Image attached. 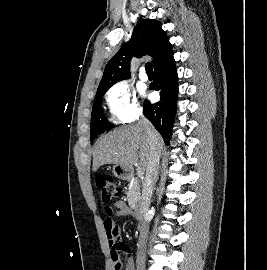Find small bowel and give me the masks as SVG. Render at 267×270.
Segmentation results:
<instances>
[{"instance_id": "1", "label": "small bowel", "mask_w": 267, "mask_h": 270, "mask_svg": "<svg viewBox=\"0 0 267 270\" xmlns=\"http://www.w3.org/2000/svg\"><path fill=\"white\" fill-rule=\"evenodd\" d=\"M112 207L116 209V213L119 216H129L131 214V210L124 201H117ZM112 207H106L107 217L105 220V229L109 239L112 263L115 258L120 259L121 254H124L127 256L124 270H134L135 262L132 257V250L130 246L119 240V230L112 219Z\"/></svg>"}]
</instances>
